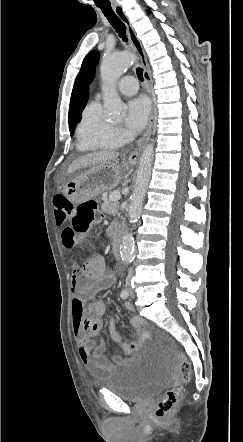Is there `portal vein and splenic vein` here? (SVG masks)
Listing matches in <instances>:
<instances>
[{
  "label": "portal vein and splenic vein",
  "mask_w": 243,
  "mask_h": 442,
  "mask_svg": "<svg viewBox=\"0 0 243 442\" xmlns=\"http://www.w3.org/2000/svg\"><path fill=\"white\" fill-rule=\"evenodd\" d=\"M110 200L112 201V202H117L118 200H120V198H121V194H120V192H113L111 195H110Z\"/></svg>",
  "instance_id": "18ae733b"
}]
</instances>
